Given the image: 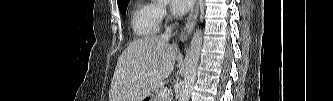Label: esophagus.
<instances>
[{
    "mask_svg": "<svg viewBox=\"0 0 333 101\" xmlns=\"http://www.w3.org/2000/svg\"><path fill=\"white\" fill-rule=\"evenodd\" d=\"M199 4H200V0L194 1V5L187 18L186 24L180 33V40L182 42H184L188 39V37L190 36V34L192 33V31L194 29V26H195V23H196V20L198 17V13H199Z\"/></svg>",
    "mask_w": 333,
    "mask_h": 101,
    "instance_id": "1",
    "label": "esophagus"
}]
</instances>
